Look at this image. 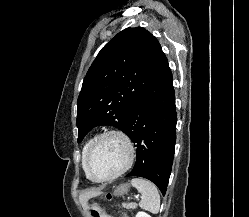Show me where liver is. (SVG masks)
Returning <instances> with one entry per match:
<instances>
[{
  "label": "liver",
  "instance_id": "1",
  "mask_svg": "<svg viewBox=\"0 0 249 217\" xmlns=\"http://www.w3.org/2000/svg\"><path fill=\"white\" fill-rule=\"evenodd\" d=\"M100 193H101L100 191H89V192H85V193L81 194L79 196V200H80L83 208L87 209L88 208V205H87L88 200L92 197L100 195Z\"/></svg>",
  "mask_w": 249,
  "mask_h": 217
}]
</instances>
